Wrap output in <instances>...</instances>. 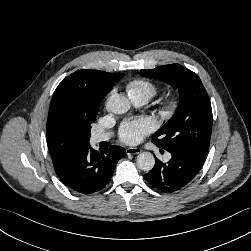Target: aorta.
Wrapping results in <instances>:
<instances>
[{
	"label": "aorta",
	"mask_w": 251,
	"mask_h": 251,
	"mask_svg": "<svg viewBox=\"0 0 251 251\" xmlns=\"http://www.w3.org/2000/svg\"><path fill=\"white\" fill-rule=\"evenodd\" d=\"M106 108L114 114H123L130 109V101L123 95L114 94L107 100ZM137 166L143 171H150L155 165V158L150 152H142L137 156Z\"/></svg>",
	"instance_id": "obj_1"
}]
</instances>
